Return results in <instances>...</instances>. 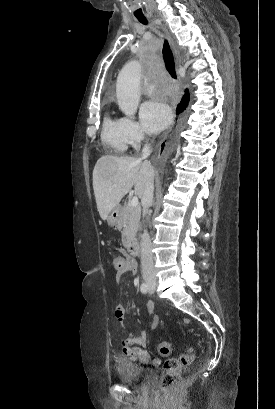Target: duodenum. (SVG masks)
<instances>
[{
    "label": "duodenum",
    "mask_w": 275,
    "mask_h": 409,
    "mask_svg": "<svg viewBox=\"0 0 275 409\" xmlns=\"http://www.w3.org/2000/svg\"><path fill=\"white\" fill-rule=\"evenodd\" d=\"M127 252L130 256L136 257L139 255V246L136 242L131 241L127 244Z\"/></svg>",
    "instance_id": "410a0bca"
}]
</instances>
